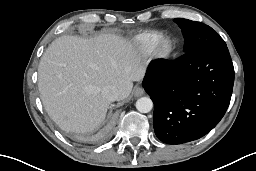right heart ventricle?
I'll return each mask as SVG.
<instances>
[{
  "mask_svg": "<svg viewBox=\"0 0 256 171\" xmlns=\"http://www.w3.org/2000/svg\"><path fill=\"white\" fill-rule=\"evenodd\" d=\"M162 37L163 33L161 31L145 30L134 37V42L141 52L149 54L153 51L154 46Z\"/></svg>",
  "mask_w": 256,
  "mask_h": 171,
  "instance_id": "1",
  "label": "right heart ventricle"
}]
</instances>
